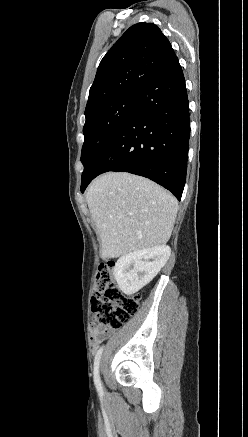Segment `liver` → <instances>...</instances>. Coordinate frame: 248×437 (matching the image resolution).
Returning a JSON list of instances; mask_svg holds the SVG:
<instances>
[{"label":"liver","mask_w":248,"mask_h":437,"mask_svg":"<svg viewBox=\"0 0 248 437\" xmlns=\"http://www.w3.org/2000/svg\"><path fill=\"white\" fill-rule=\"evenodd\" d=\"M86 201L101 240L102 258L166 244L178 212L172 194L128 173L99 176L87 188Z\"/></svg>","instance_id":"liver-1"}]
</instances>
